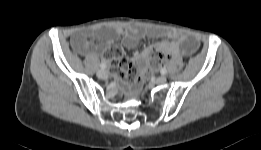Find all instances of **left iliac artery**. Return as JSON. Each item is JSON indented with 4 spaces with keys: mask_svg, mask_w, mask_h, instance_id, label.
Here are the masks:
<instances>
[{
    "mask_svg": "<svg viewBox=\"0 0 261 150\" xmlns=\"http://www.w3.org/2000/svg\"><path fill=\"white\" fill-rule=\"evenodd\" d=\"M160 72H161V74L165 75L167 73V70H166V68H162Z\"/></svg>",
    "mask_w": 261,
    "mask_h": 150,
    "instance_id": "obj_1",
    "label": "left iliac artery"
}]
</instances>
